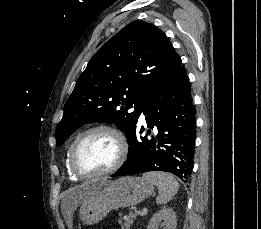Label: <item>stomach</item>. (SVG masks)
Masks as SVG:
<instances>
[{"label": "stomach", "instance_id": "1", "mask_svg": "<svg viewBox=\"0 0 261 229\" xmlns=\"http://www.w3.org/2000/svg\"><path fill=\"white\" fill-rule=\"evenodd\" d=\"M94 193L85 199L80 209V219L85 225H95L113 209L138 205L154 191L153 183L143 177H121L117 181L96 179L87 183Z\"/></svg>", "mask_w": 261, "mask_h": 229}]
</instances>
